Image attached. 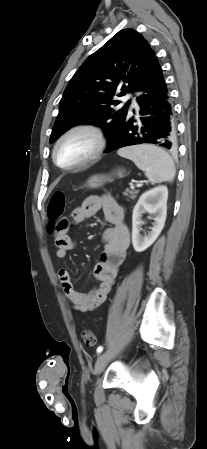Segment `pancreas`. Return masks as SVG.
I'll use <instances>...</instances> for the list:
<instances>
[{"label": "pancreas", "mask_w": 207, "mask_h": 449, "mask_svg": "<svg viewBox=\"0 0 207 449\" xmlns=\"http://www.w3.org/2000/svg\"><path fill=\"white\" fill-rule=\"evenodd\" d=\"M137 193H138V191H136V190H129V189H126V192H124L123 194H124L125 196H129L131 199H135Z\"/></svg>", "instance_id": "pancreas-1"}]
</instances>
